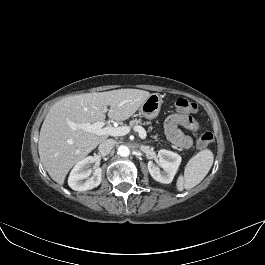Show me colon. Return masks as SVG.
Instances as JSON below:
<instances>
[{
    "instance_id": "5ec220e1",
    "label": "colon",
    "mask_w": 265,
    "mask_h": 265,
    "mask_svg": "<svg viewBox=\"0 0 265 265\" xmlns=\"http://www.w3.org/2000/svg\"><path fill=\"white\" fill-rule=\"evenodd\" d=\"M175 106L180 110H184L188 112H195L197 110L196 104L185 98L177 99L175 102ZM213 139H214V136L211 132H204L200 134L196 140L198 148L202 149V148L207 147L213 142Z\"/></svg>"
}]
</instances>
